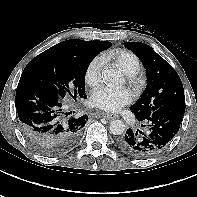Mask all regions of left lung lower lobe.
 Masks as SVG:
<instances>
[{
    "mask_svg": "<svg viewBox=\"0 0 197 197\" xmlns=\"http://www.w3.org/2000/svg\"><path fill=\"white\" fill-rule=\"evenodd\" d=\"M185 112V103L166 104L139 120L145 131H132L119 138L122 151L136 158H149L163 151L179 131Z\"/></svg>",
    "mask_w": 197,
    "mask_h": 197,
    "instance_id": "left-lung-lower-lobe-1",
    "label": "left lung lower lobe"
}]
</instances>
